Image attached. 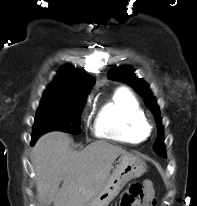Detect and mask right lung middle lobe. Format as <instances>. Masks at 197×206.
<instances>
[{"instance_id":"1","label":"right lung middle lobe","mask_w":197,"mask_h":206,"mask_svg":"<svg viewBox=\"0 0 197 206\" xmlns=\"http://www.w3.org/2000/svg\"><path fill=\"white\" fill-rule=\"evenodd\" d=\"M86 96L44 93L33 126L32 140H37L42 134L54 130L79 134L80 115Z\"/></svg>"}]
</instances>
